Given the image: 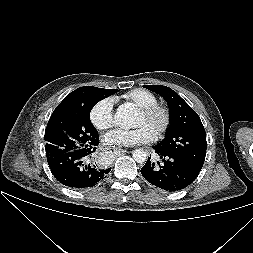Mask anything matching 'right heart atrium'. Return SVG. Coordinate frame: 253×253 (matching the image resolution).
Returning <instances> with one entry per match:
<instances>
[{
    "label": "right heart atrium",
    "mask_w": 253,
    "mask_h": 253,
    "mask_svg": "<svg viewBox=\"0 0 253 253\" xmlns=\"http://www.w3.org/2000/svg\"><path fill=\"white\" fill-rule=\"evenodd\" d=\"M90 120L99 130H106L114 124V101L110 97L99 100L90 111Z\"/></svg>",
    "instance_id": "d8ad5b80"
}]
</instances>
